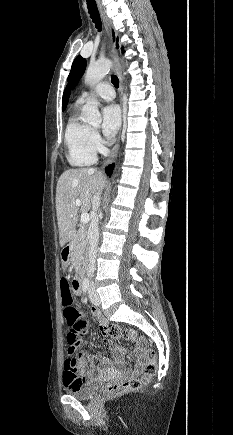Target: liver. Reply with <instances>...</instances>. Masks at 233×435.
<instances>
[{
  "mask_svg": "<svg viewBox=\"0 0 233 435\" xmlns=\"http://www.w3.org/2000/svg\"><path fill=\"white\" fill-rule=\"evenodd\" d=\"M104 178L93 168H77L64 171L56 187V212L59 228V243L63 247L75 237V225L81 201V211L90 210L93 197L102 189Z\"/></svg>",
  "mask_w": 233,
  "mask_h": 435,
  "instance_id": "1",
  "label": "liver"
}]
</instances>
